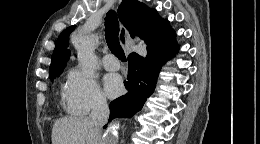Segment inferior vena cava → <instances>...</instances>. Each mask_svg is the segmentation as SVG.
Segmentation results:
<instances>
[{
  "instance_id": "obj_1",
  "label": "inferior vena cava",
  "mask_w": 260,
  "mask_h": 144,
  "mask_svg": "<svg viewBox=\"0 0 260 144\" xmlns=\"http://www.w3.org/2000/svg\"><path fill=\"white\" fill-rule=\"evenodd\" d=\"M109 118V108L104 98H98L90 114L91 124L99 132L102 127L107 123Z\"/></svg>"
}]
</instances>
